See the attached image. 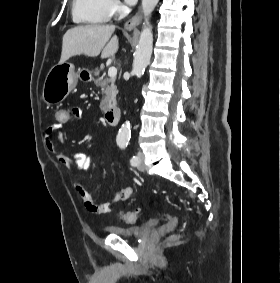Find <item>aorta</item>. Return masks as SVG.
<instances>
[{
	"label": "aorta",
	"instance_id": "1",
	"mask_svg": "<svg viewBox=\"0 0 280 283\" xmlns=\"http://www.w3.org/2000/svg\"><path fill=\"white\" fill-rule=\"evenodd\" d=\"M159 0H142V10L145 17L143 29L140 33L139 42L133 60V73L136 77L141 78L149 64L152 48H153V34L152 28L149 24V17L155 9ZM131 135L130 123H124L119 129L117 135V143L125 144Z\"/></svg>",
	"mask_w": 280,
	"mask_h": 283
}]
</instances>
